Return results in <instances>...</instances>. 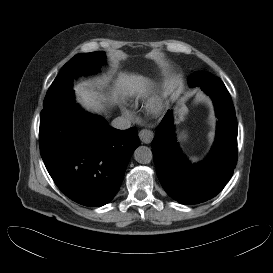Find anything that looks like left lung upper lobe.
Returning a JSON list of instances; mask_svg holds the SVG:
<instances>
[{"mask_svg":"<svg viewBox=\"0 0 273 273\" xmlns=\"http://www.w3.org/2000/svg\"><path fill=\"white\" fill-rule=\"evenodd\" d=\"M199 73L200 72H195L188 77L189 86H191V87L196 86V83H197V80L199 77Z\"/></svg>","mask_w":273,"mask_h":273,"instance_id":"left-lung-upper-lobe-1","label":"left lung upper lobe"}]
</instances>
